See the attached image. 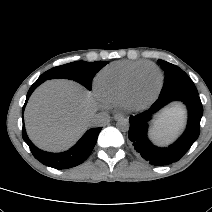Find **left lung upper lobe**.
Returning a JSON list of instances; mask_svg holds the SVG:
<instances>
[{
  "mask_svg": "<svg viewBox=\"0 0 212 212\" xmlns=\"http://www.w3.org/2000/svg\"><path fill=\"white\" fill-rule=\"evenodd\" d=\"M165 72V81L159 96H165L175 92H191L198 94L193 81L179 67L163 60H158Z\"/></svg>",
  "mask_w": 212,
  "mask_h": 212,
  "instance_id": "left-lung-upper-lobe-1",
  "label": "left lung upper lobe"
}]
</instances>
